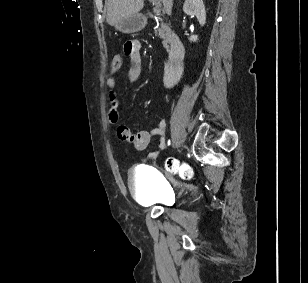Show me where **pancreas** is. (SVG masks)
<instances>
[{
    "instance_id": "1",
    "label": "pancreas",
    "mask_w": 308,
    "mask_h": 283,
    "mask_svg": "<svg viewBox=\"0 0 308 283\" xmlns=\"http://www.w3.org/2000/svg\"><path fill=\"white\" fill-rule=\"evenodd\" d=\"M159 16V14H158ZM160 23V26L156 29V33L163 39V46L168 50L169 49V41H170V34L171 30L170 27L163 22V20L158 17L157 23Z\"/></svg>"
}]
</instances>
